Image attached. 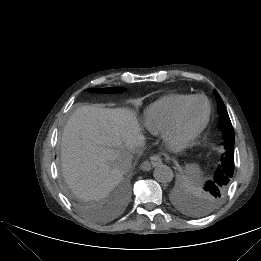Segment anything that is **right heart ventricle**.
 Segmentation results:
<instances>
[{
	"label": "right heart ventricle",
	"instance_id": "obj_1",
	"mask_svg": "<svg viewBox=\"0 0 261 261\" xmlns=\"http://www.w3.org/2000/svg\"><path fill=\"white\" fill-rule=\"evenodd\" d=\"M191 96L190 94L170 93L147 106L143 119L146 131L155 136L163 134L178 107Z\"/></svg>",
	"mask_w": 261,
	"mask_h": 261
}]
</instances>
